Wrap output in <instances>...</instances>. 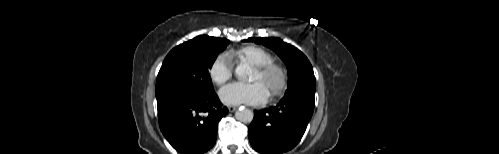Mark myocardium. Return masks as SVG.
Masks as SVG:
<instances>
[{
  "label": "myocardium",
  "instance_id": "obj_1",
  "mask_svg": "<svg viewBox=\"0 0 499 154\" xmlns=\"http://www.w3.org/2000/svg\"><path fill=\"white\" fill-rule=\"evenodd\" d=\"M255 70L265 79L276 76V82L269 91L270 97L279 96L285 91L288 84V72L283 64L271 61L264 65L255 66Z\"/></svg>",
  "mask_w": 499,
  "mask_h": 154
}]
</instances>
